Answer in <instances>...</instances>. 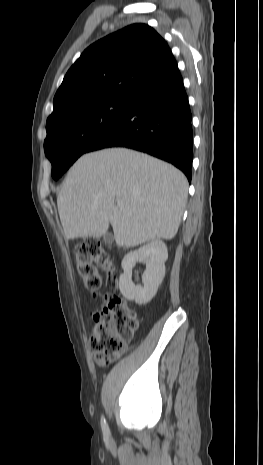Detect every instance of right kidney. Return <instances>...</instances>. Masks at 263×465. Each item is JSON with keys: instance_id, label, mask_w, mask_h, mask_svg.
<instances>
[{"instance_id": "ca27d5eb", "label": "right kidney", "mask_w": 263, "mask_h": 465, "mask_svg": "<svg viewBox=\"0 0 263 465\" xmlns=\"http://www.w3.org/2000/svg\"><path fill=\"white\" fill-rule=\"evenodd\" d=\"M168 250L161 240H153L138 250L127 253L121 263L124 273L119 278V289L128 300L137 304H146L155 296L165 276V262ZM136 262H145L146 270L142 275L143 286L132 282V270Z\"/></svg>"}]
</instances>
